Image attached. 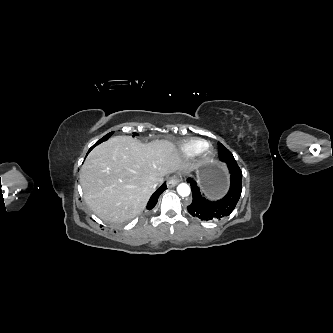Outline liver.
<instances>
[{
  "label": "liver",
  "mask_w": 333,
  "mask_h": 333,
  "mask_svg": "<svg viewBox=\"0 0 333 333\" xmlns=\"http://www.w3.org/2000/svg\"><path fill=\"white\" fill-rule=\"evenodd\" d=\"M184 165L168 140L143 144L131 136H115L90 152L80 170V184L93 212L119 223L138 215L154 192L152 186Z\"/></svg>",
  "instance_id": "6515ba94"
}]
</instances>
